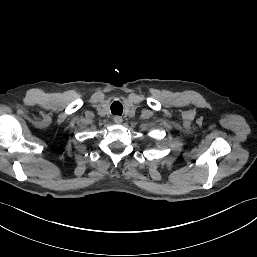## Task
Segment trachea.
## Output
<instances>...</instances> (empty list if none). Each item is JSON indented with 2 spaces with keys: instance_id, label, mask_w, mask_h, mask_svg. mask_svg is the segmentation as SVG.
I'll list each match as a JSON object with an SVG mask.
<instances>
[{
  "instance_id": "obj_1",
  "label": "trachea",
  "mask_w": 257,
  "mask_h": 257,
  "mask_svg": "<svg viewBox=\"0 0 257 257\" xmlns=\"http://www.w3.org/2000/svg\"><path fill=\"white\" fill-rule=\"evenodd\" d=\"M111 112L115 115H121L123 112V105L119 101H114L111 104Z\"/></svg>"
}]
</instances>
